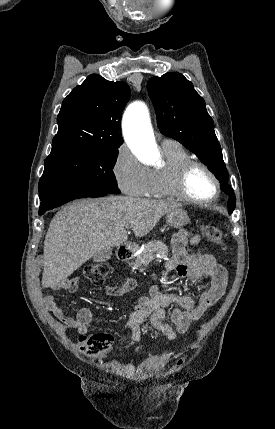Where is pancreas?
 <instances>
[{
	"label": "pancreas",
	"mask_w": 275,
	"mask_h": 429,
	"mask_svg": "<svg viewBox=\"0 0 275 429\" xmlns=\"http://www.w3.org/2000/svg\"><path fill=\"white\" fill-rule=\"evenodd\" d=\"M166 257L168 255V247L166 244L152 240L145 245L144 250L136 256L134 266L141 267L148 265L156 256Z\"/></svg>",
	"instance_id": "obj_1"
}]
</instances>
